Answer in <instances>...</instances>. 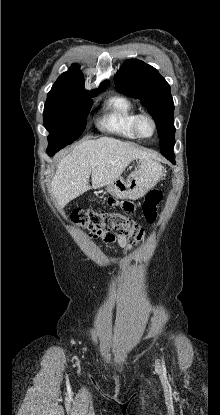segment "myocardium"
<instances>
[{
  "label": "myocardium",
  "instance_id": "myocardium-1",
  "mask_svg": "<svg viewBox=\"0 0 220 415\" xmlns=\"http://www.w3.org/2000/svg\"><path fill=\"white\" fill-rule=\"evenodd\" d=\"M143 119H148L152 124L153 132H152L151 136H149V137L144 136L140 131V123ZM133 129H134V132H135V134L138 138H140V139H150V138L154 137L156 132H157V124H156V121L153 118V116H151L150 114H147V113H141V114H138L136 116V118L134 120V123H133Z\"/></svg>",
  "mask_w": 220,
  "mask_h": 415
}]
</instances>
